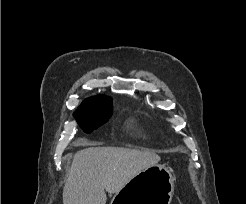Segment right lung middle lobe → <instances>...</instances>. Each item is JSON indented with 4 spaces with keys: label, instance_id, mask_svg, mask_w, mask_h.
I'll return each mask as SVG.
<instances>
[{
    "label": "right lung middle lobe",
    "instance_id": "obj_1",
    "mask_svg": "<svg viewBox=\"0 0 246 204\" xmlns=\"http://www.w3.org/2000/svg\"><path fill=\"white\" fill-rule=\"evenodd\" d=\"M112 115V99H101L90 102L79 108L76 119L84 132L91 133L94 129L103 125Z\"/></svg>",
    "mask_w": 246,
    "mask_h": 204
}]
</instances>
